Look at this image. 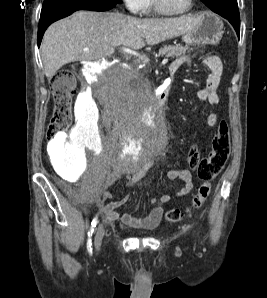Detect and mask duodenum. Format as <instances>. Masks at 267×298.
<instances>
[{"label": "duodenum", "instance_id": "410a0bca", "mask_svg": "<svg viewBox=\"0 0 267 298\" xmlns=\"http://www.w3.org/2000/svg\"><path fill=\"white\" fill-rule=\"evenodd\" d=\"M167 91H164L163 93L159 94L154 98V100H151V105H157V109H166L167 105Z\"/></svg>", "mask_w": 267, "mask_h": 298}]
</instances>
